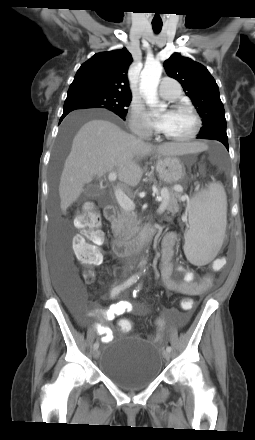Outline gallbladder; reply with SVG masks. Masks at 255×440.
Wrapping results in <instances>:
<instances>
[{
    "instance_id": "1",
    "label": "gallbladder",
    "mask_w": 255,
    "mask_h": 440,
    "mask_svg": "<svg viewBox=\"0 0 255 440\" xmlns=\"http://www.w3.org/2000/svg\"><path fill=\"white\" fill-rule=\"evenodd\" d=\"M98 192H99V186L96 183L90 184L85 188L84 195L85 196H94Z\"/></svg>"
}]
</instances>
